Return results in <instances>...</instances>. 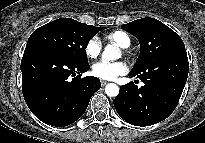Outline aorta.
I'll use <instances>...</instances> for the list:
<instances>
[{
    "instance_id": "obj_1",
    "label": "aorta",
    "mask_w": 205,
    "mask_h": 143,
    "mask_svg": "<svg viewBox=\"0 0 205 143\" xmlns=\"http://www.w3.org/2000/svg\"><path fill=\"white\" fill-rule=\"evenodd\" d=\"M120 56L121 54L119 50L114 45L108 44L102 53V60H117L120 58ZM105 92L110 97H116L119 94V87L114 83H109L105 87Z\"/></svg>"
}]
</instances>
